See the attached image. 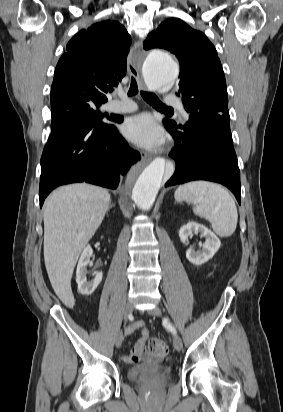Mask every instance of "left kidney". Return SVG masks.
I'll list each match as a JSON object with an SVG mask.
<instances>
[{
    "label": "left kidney",
    "mask_w": 283,
    "mask_h": 412,
    "mask_svg": "<svg viewBox=\"0 0 283 412\" xmlns=\"http://www.w3.org/2000/svg\"><path fill=\"white\" fill-rule=\"evenodd\" d=\"M200 233L206 238L205 243L202 245V249L195 251L189 248L186 251V258L189 262L195 265H201L211 259L214 254L219 250L221 242L219 238L204 225L189 222L182 226L179 230V237L183 244L188 243V237L193 236V234Z\"/></svg>",
    "instance_id": "1"
}]
</instances>
